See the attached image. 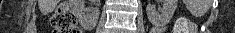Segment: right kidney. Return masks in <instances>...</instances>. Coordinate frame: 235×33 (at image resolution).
<instances>
[{
  "mask_svg": "<svg viewBox=\"0 0 235 33\" xmlns=\"http://www.w3.org/2000/svg\"><path fill=\"white\" fill-rule=\"evenodd\" d=\"M70 5L74 14L82 21L93 20L96 22L99 18V9L94 8L90 11H87L85 8V0H71Z\"/></svg>",
  "mask_w": 235,
  "mask_h": 33,
  "instance_id": "obj_1",
  "label": "right kidney"
}]
</instances>
